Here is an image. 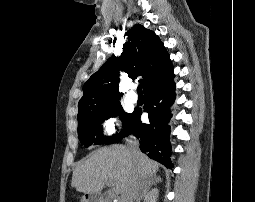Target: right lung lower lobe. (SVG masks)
Returning a JSON list of instances; mask_svg holds the SVG:
<instances>
[{
  "label": "right lung lower lobe",
  "instance_id": "right-lung-lower-lobe-1",
  "mask_svg": "<svg viewBox=\"0 0 255 202\" xmlns=\"http://www.w3.org/2000/svg\"><path fill=\"white\" fill-rule=\"evenodd\" d=\"M144 112L149 114V123H142L141 109H136L132 114L130 127L125 136L133 134L140 139V149L150 158L160 162L167 168L171 164V144L169 142L171 118L170 107L175 101V83L173 79L167 83L148 90L144 93Z\"/></svg>",
  "mask_w": 255,
  "mask_h": 202
}]
</instances>
